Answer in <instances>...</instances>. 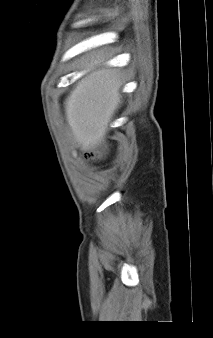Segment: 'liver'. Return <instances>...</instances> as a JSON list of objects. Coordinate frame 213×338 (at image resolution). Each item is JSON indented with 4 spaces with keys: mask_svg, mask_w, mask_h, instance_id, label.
Listing matches in <instances>:
<instances>
[{
    "mask_svg": "<svg viewBox=\"0 0 213 338\" xmlns=\"http://www.w3.org/2000/svg\"><path fill=\"white\" fill-rule=\"evenodd\" d=\"M96 56L65 100V117L74 141L83 151L105 141L109 124L122 103L121 78L116 69L107 68Z\"/></svg>",
    "mask_w": 213,
    "mask_h": 338,
    "instance_id": "1",
    "label": "liver"
}]
</instances>
